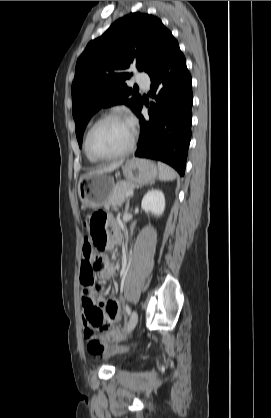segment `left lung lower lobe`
Masks as SVG:
<instances>
[{
  "label": "left lung lower lobe",
  "mask_w": 271,
  "mask_h": 418,
  "mask_svg": "<svg viewBox=\"0 0 271 418\" xmlns=\"http://www.w3.org/2000/svg\"><path fill=\"white\" fill-rule=\"evenodd\" d=\"M149 76L156 104H151L149 121L141 116L142 102L136 112L142 132L135 156L161 160L182 176L191 140L193 95L191 75L174 37Z\"/></svg>",
  "instance_id": "1"
}]
</instances>
